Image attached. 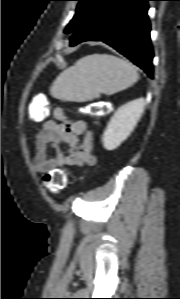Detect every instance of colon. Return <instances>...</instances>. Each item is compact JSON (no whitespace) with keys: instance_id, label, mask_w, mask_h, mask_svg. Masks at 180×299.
Here are the masks:
<instances>
[{"instance_id":"obj_1","label":"colon","mask_w":180,"mask_h":299,"mask_svg":"<svg viewBox=\"0 0 180 299\" xmlns=\"http://www.w3.org/2000/svg\"><path fill=\"white\" fill-rule=\"evenodd\" d=\"M93 113H97V109H93ZM40 119L45 118L44 113H33ZM43 183L45 187L52 193L57 194L64 189L68 183V175L64 170H54L44 176Z\"/></svg>"}]
</instances>
